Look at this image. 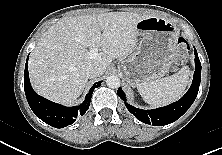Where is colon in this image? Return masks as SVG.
I'll use <instances>...</instances> for the list:
<instances>
[{
    "label": "colon",
    "instance_id": "1",
    "mask_svg": "<svg viewBox=\"0 0 222 155\" xmlns=\"http://www.w3.org/2000/svg\"><path fill=\"white\" fill-rule=\"evenodd\" d=\"M189 49L188 42L185 38L179 37L176 42V55L178 60H181L185 57L187 51Z\"/></svg>",
    "mask_w": 222,
    "mask_h": 155
}]
</instances>
